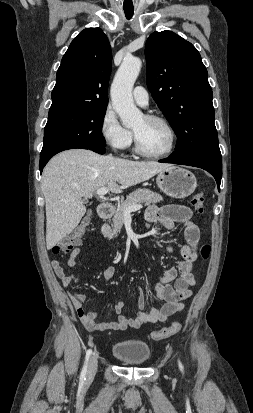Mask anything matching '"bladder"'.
I'll return each instance as SVG.
<instances>
[{
	"label": "bladder",
	"instance_id": "bladder-1",
	"mask_svg": "<svg viewBox=\"0 0 253 413\" xmlns=\"http://www.w3.org/2000/svg\"><path fill=\"white\" fill-rule=\"evenodd\" d=\"M113 357L125 365L141 366L151 358V349L141 342H123L116 344L112 349Z\"/></svg>",
	"mask_w": 253,
	"mask_h": 413
}]
</instances>
